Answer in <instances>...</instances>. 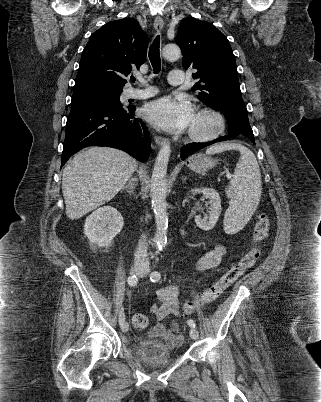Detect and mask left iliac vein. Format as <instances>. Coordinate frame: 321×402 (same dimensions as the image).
<instances>
[{
	"instance_id": "obj_1",
	"label": "left iliac vein",
	"mask_w": 321,
	"mask_h": 402,
	"mask_svg": "<svg viewBox=\"0 0 321 402\" xmlns=\"http://www.w3.org/2000/svg\"><path fill=\"white\" fill-rule=\"evenodd\" d=\"M145 275H146V271L141 273V276H145ZM189 335H190L191 339H193V340H197L199 337V333L195 328L190 329Z\"/></svg>"
}]
</instances>
